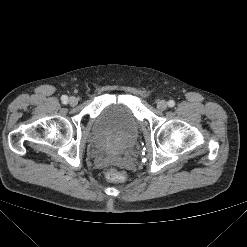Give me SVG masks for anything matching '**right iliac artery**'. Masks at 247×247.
Returning a JSON list of instances; mask_svg holds the SVG:
<instances>
[{
	"instance_id": "82829eb1",
	"label": "right iliac artery",
	"mask_w": 247,
	"mask_h": 247,
	"mask_svg": "<svg viewBox=\"0 0 247 247\" xmlns=\"http://www.w3.org/2000/svg\"><path fill=\"white\" fill-rule=\"evenodd\" d=\"M61 100H62L63 103H66L68 101V97L66 95H63L61 97Z\"/></svg>"
}]
</instances>
